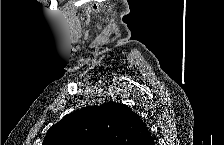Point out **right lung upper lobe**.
Here are the masks:
<instances>
[{
  "mask_svg": "<svg viewBox=\"0 0 224 145\" xmlns=\"http://www.w3.org/2000/svg\"><path fill=\"white\" fill-rule=\"evenodd\" d=\"M140 117L127 105L108 102L66 115L42 145H154Z\"/></svg>",
  "mask_w": 224,
  "mask_h": 145,
  "instance_id": "1",
  "label": "right lung upper lobe"
}]
</instances>
